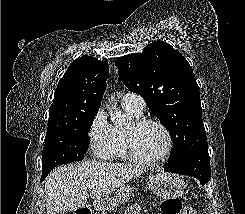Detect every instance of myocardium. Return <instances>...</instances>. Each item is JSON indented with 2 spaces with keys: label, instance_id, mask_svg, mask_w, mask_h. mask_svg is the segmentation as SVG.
I'll list each match as a JSON object with an SVG mask.
<instances>
[{
  "label": "myocardium",
  "instance_id": "obj_1",
  "mask_svg": "<svg viewBox=\"0 0 245 214\" xmlns=\"http://www.w3.org/2000/svg\"><path fill=\"white\" fill-rule=\"evenodd\" d=\"M149 125L157 126L158 128H160L165 134L166 139H167L165 150L163 151L161 155H159L156 158L144 157L138 151L136 144H135L136 132ZM125 143H126L127 151L130 157L133 160L139 163H142L144 165H154V164H157L163 161L170 155L173 149V137H172L171 132L162 122L153 120V119H137V120L132 121L130 125L128 126V128L125 129Z\"/></svg>",
  "mask_w": 245,
  "mask_h": 214
}]
</instances>
